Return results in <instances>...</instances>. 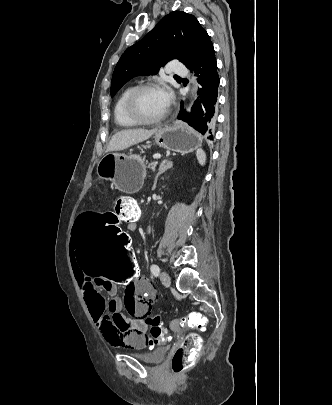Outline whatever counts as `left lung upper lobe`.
<instances>
[{
	"label": "left lung upper lobe",
	"mask_w": 332,
	"mask_h": 405,
	"mask_svg": "<svg viewBox=\"0 0 332 405\" xmlns=\"http://www.w3.org/2000/svg\"><path fill=\"white\" fill-rule=\"evenodd\" d=\"M210 37L195 16L173 11L119 59L111 82V96L131 78L155 75L168 61L178 59L193 65L211 44Z\"/></svg>",
	"instance_id": "left-lung-upper-lobe-1"
}]
</instances>
